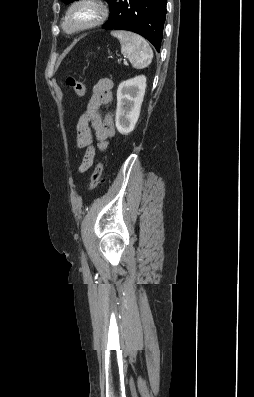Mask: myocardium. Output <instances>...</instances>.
<instances>
[{
    "label": "myocardium",
    "instance_id": "f54148a6",
    "mask_svg": "<svg viewBox=\"0 0 254 397\" xmlns=\"http://www.w3.org/2000/svg\"><path fill=\"white\" fill-rule=\"evenodd\" d=\"M83 8L91 9L93 14L87 19L78 20L76 15ZM107 17L108 9L101 1L76 0L67 8L60 26L65 34L74 35L100 26L106 21Z\"/></svg>",
    "mask_w": 254,
    "mask_h": 397
}]
</instances>
